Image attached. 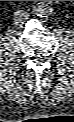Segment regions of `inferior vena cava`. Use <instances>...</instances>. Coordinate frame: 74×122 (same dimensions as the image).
I'll return each instance as SVG.
<instances>
[{
  "mask_svg": "<svg viewBox=\"0 0 74 122\" xmlns=\"http://www.w3.org/2000/svg\"><path fill=\"white\" fill-rule=\"evenodd\" d=\"M29 17V14L27 12H23V11H17L14 14V21L16 24H20L25 22Z\"/></svg>",
  "mask_w": 74,
  "mask_h": 122,
  "instance_id": "obj_1",
  "label": "inferior vena cava"
}]
</instances>
